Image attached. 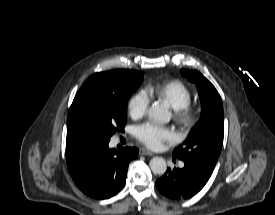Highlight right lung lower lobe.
<instances>
[{"label":"right lung lower lobe","instance_id":"obj_1","mask_svg":"<svg viewBox=\"0 0 275 215\" xmlns=\"http://www.w3.org/2000/svg\"><path fill=\"white\" fill-rule=\"evenodd\" d=\"M109 142H79L66 145V161L76 186L94 199H108L124 186L128 165L138 149L124 148L117 153Z\"/></svg>","mask_w":275,"mask_h":215}]
</instances>
